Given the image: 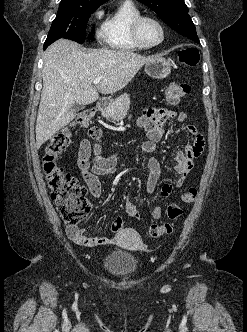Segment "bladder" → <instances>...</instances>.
<instances>
[{"instance_id": "bladder-1", "label": "bladder", "mask_w": 247, "mask_h": 332, "mask_svg": "<svg viewBox=\"0 0 247 332\" xmlns=\"http://www.w3.org/2000/svg\"><path fill=\"white\" fill-rule=\"evenodd\" d=\"M103 268L112 276L127 277L136 272L138 260L131 253L114 250L104 257Z\"/></svg>"}]
</instances>
